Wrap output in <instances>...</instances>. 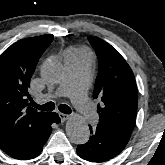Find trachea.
<instances>
[{
    "mask_svg": "<svg viewBox=\"0 0 165 165\" xmlns=\"http://www.w3.org/2000/svg\"><path fill=\"white\" fill-rule=\"evenodd\" d=\"M32 106L39 110H43V111H53L55 109V104L53 102H48L43 105L33 103ZM58 109L60 110V112H62L64 114H71V112H72L71 108L69 106H67L66 104H60L58 106Z\"/></svg>",
    "mask_w": 165,
    "mask_h": 165,
    "instance_id": "3493384b",
    "label": "trachea"
}]
</instances>
